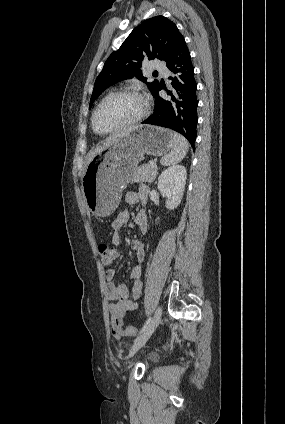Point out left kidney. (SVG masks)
<instances>
[{"instance_id": "obj_1", "label": "left kidney", "mask_w": 285, "mask_h": 424, "mask_svg": "<svg viewBox=\"0 0 285 424\" xmlns=\"http://www.w3.org/2000/svg\"><path fill=\"white\" fill-rule=\"evenodd\" d=\"M187 179L186 168L182 165H173L165 169L158 178V190L166 197L165 206L169 210L180 204Z\"/></svg>"}]
</instances>
